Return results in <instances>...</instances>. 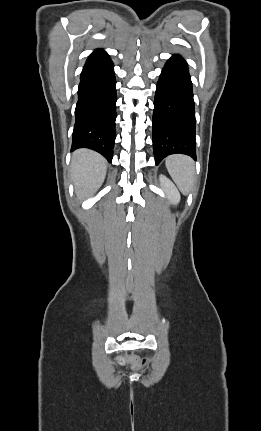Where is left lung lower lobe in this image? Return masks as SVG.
<instances>
[{"label": "left lung lower lobe", "mask_w": 261, "mask_h": 431, "mask_svg": "<svg viewBox=\"0 0 261 431\" xmlns=\"http://www.w3.org/2000/svg\"><path fill=\"white\" fill-rule=\"evenodd\" d=\"M152 129L156 164L175 153L196 160L192 82L187 63L180 55L167 61L159 77Z\"/></svg>", "instance_id": "1"}]
</instances>
